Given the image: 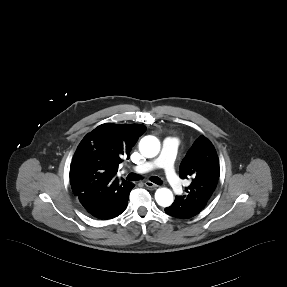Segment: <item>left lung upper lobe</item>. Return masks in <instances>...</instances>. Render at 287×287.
Here are the masks:
<instances>
[{"label":"left lung upper lobe","instance_id":"5c2ea615","mask_svg":"<svg viewBox=\"0 0 287 287\" xmlns=\"http://www.w3.org/2000/svg\"><path fill=\"white\" fill-rule=\"evenodd\" d=\"M179 175L191 178L186 194L178 196L184 207L201 211L212 196L220 175L219 160L212 143L201 135L183 159Z\"/></svg>","mask_w":287,"mask_h":287}]
</instances>
